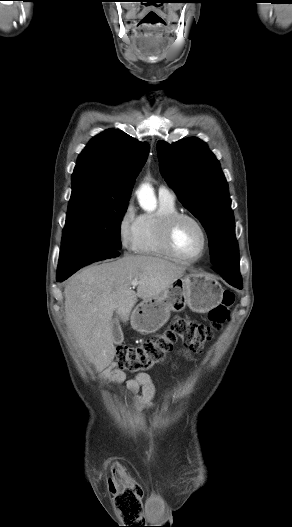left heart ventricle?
I'll use <instances>...</instances> for the list:
<instances>
[{"label": "left heart ventricle", "instance_id": "left-heart-ventricle-1", "mask_svg": "<svg viewBox=\"0 0 292 527\" xmlns=\"http://www.w3.org/2000/svg\"><path fill=\"white\" fill-rule=\"evenodd\" d=\"M173 242L176 250L185 258H195L202 250V234L192 221L183 219L174 229Z\"/></svg>", "mask_w": 292, "mask_h": 527}]
</instances>
